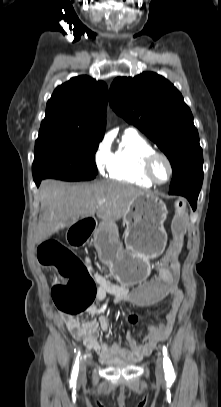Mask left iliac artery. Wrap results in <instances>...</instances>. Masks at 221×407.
I'll return each instance as SVG.
<instances>
[{
  "instance_id": "obj_1",
  "label": "left iliac artery",
  "mask_w": 221,
  "mask_h": 407,
  "mask_svg": "<svg viewBox=\"0 0 221 407\" xmlns=\"http://www.w3.org/2000/svg\"><path fill=\"white\" fill-rule=\"evenodd\" d=\"M162 351H163V355H164L163 366H164L165 376L167 378H172V377H174V369H173L172 363L168 357V350H167L166 346H163Z\"/></svg>"
}]
</instances>
